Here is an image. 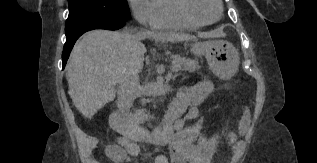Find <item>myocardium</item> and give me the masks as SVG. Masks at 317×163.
Listing matches in <instances>:
<instances>
[{
	"label": "myocardium",
	"instance_id": "1",
	"mask_svg": "<svg viewBox=\"0 0 317 163\" xmlns=\"http://www.w3.org/2000/svg\"><path fill=\"white\" fill-rule=\"evenodd\" d=\"M189 0H174V9L177 15L184 21L196 25H209L219 21L223 15V5L221 0H215L219 14L218 17L213 20H206L194 15L189 9Z\"/></svg>",
	"mask_w": 317,
	"mask_h": 163
}]
</instances>
